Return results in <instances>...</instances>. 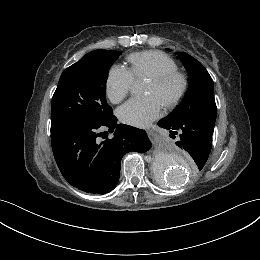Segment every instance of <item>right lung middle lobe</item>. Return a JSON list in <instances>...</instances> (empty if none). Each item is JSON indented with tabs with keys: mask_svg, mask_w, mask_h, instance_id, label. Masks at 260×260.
Wrapping results in <instances>:
<instances>
[{
	"mask_svg": "<svg viewBox=\"0 0 260 260\" xmlns=\"http://www.w3.org/2000/svg\"><path fill=\"white\" fill-rule=\"evenodd\" d=\"M120 54L95 50L64 70L52 98L51 128L70 123H102L112 115L106 101V81Z\"/></svg>",
	"mask_w": 260,
	"mask_h": 260,
	"instance_id": "obj_1",
	"label": "right lung middle lobe"
}]
</instances>
